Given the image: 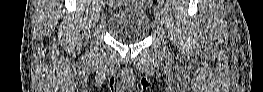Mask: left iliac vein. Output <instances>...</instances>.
Returning a JSON list of instances; mask_svg holds the SVG:
<instances>
[{
    "mask_svg": "<svg viewBox=\"0 0 263 92\" xmlns=\"http://www.w3.org/2000/svg\"><path fill=\"white\" fill-rule=\"evenodd\" d=\"M161 4H162V0H157V2L153 3V6L156 7L154 17L157 18L160 23L163 22V14L161 11Z\"/></svg>",
    "mask_w": 263,
    "mask_h": 92,
    "instance_id": "left-iliac-vein-1",
    "label": "left iliac vein"
}]
</instances>
